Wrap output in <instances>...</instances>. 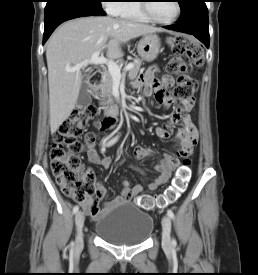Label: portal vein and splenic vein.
<instances>
[{
    "instance_id": "18ae733b",
    "label": "portal vein and splenic vein",
    "mask_w": 258,
    "mask_h": 275,
    "mask_svg": "<svg viewBox=\"0 0 258 275\" xmlns=\"http://www.w3.org/2000/svg\"><path fill=\"white\" fill-rule=\"evenodd\" d=\"M88 64H96V65H104L108 66V70L111 73L113 79L120 80L121 79V71L118 65L113 60H108L103 56H100V51L93 53V55L86 60H83L81 63L75 65L74 67H67L66 71L68 72H75L80 70L83 67H86ZM133 68V64H128L124 70L128 71Z\"/></svg>"
}]
</instances>
